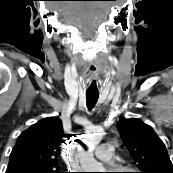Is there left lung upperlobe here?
<instances>
[{"label": "left lung upper lobe", "instance_id": "obj_1", "mask_svg": "<svg viewBox=\"0 0 173 173\" xmlns=\"http://www.w3.org/2000/svg\"><path fill=\"white\" fill-rule=\"evenodd\" d=\"M117 130L140 173H173L166 147L149 125L136 118L123 119Z\"/></svg>", "mask_w": 173, "mask_h": 173}]
</instances>
